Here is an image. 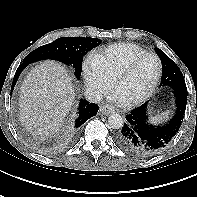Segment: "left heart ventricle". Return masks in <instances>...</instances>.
I'll return each mask as SVG.
<instances>
[{"mask_svg":"<svg viewBox=\"0 0 197 197\" xmlns=\"http://www.w3.org/2000/svg\"><path fill=\"white\" fill-rule=\"evenodd\" d=\"M157 73V62L153 57L140 60L132 72L124 78L116 89L121 100H128L145 93L152 84Z\"/></svg>","mask_w":197,"mask_h":197,"instance_id":"1","label":"left heart ventricle"}]
</instances>
